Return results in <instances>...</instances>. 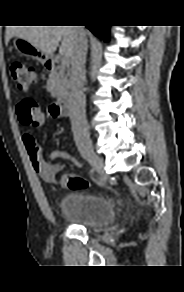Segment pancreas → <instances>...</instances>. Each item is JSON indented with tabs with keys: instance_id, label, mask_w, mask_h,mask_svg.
<instances>
[{
	"instance_id": "1",
	"label": "pancreas",
	"mask_w": 184,
	"mask_h": 292,
	"mask_svg": "<svg viewBox=\"0 0 184 292\" xmlns=\"http://www.w3.org/2000/svg\"><path fill=\"white\" fill-rule=\"evenodd\" d=\"M69 88L65 66H58L55 71L49 75L47 81V90L52 97L64 95Z\"/></svg>"
}]
</instances>
